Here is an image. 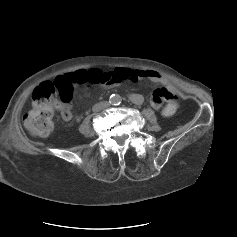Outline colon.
Returning <instances> with one entry per match:
<instances>
[{"mask_svg": "<svg viewBox=\"0 0 237 237\" xmlns=\"http://www.w3.org/2000/svg\"><path fill=\"white\" fill-rule=\"evenodd\" d=\"M107 74L100 70H79L71 74L59 76L51 82L40 84L33 92L32 107L24 117L25 128L34 136H47L53 129L54 108L58 98L68 104L75 86L103 84L107 82ZM178 103L172 102L162 110L165 117L173 115Z\"/></svg>", "mask_w": 237, "mask_h": 237, "instance_id": "obj_1", "label": "colon"}]
</instances>
